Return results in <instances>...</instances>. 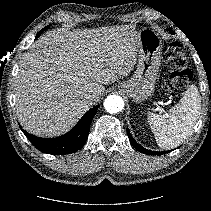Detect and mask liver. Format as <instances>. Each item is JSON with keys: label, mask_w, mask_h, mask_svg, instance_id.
<instances>
[{"label": "liver", "mask_w": 211, "mask_h": 211, "mask_svg": "<svg viewBox=\"0 0 211 211\" xmlns=\"http://www.w3.org/2000/svg\"><path fill=\"white\" fill-rule=\"evenodd\" d=\"M133 26L54 30L41 36L20 61L15 80L16 113L22 127L40 137L60 136L136 63Z\"/></svg>", "instance_id": "obj_1"}]
</instances>
